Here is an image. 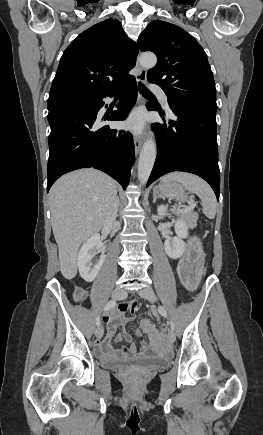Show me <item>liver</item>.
<instances>
[{"instance_id": "liver-1", "label": "liver", "mask_w": 263, "mask_h": 435, "mask_svg": "<svg viewBox=\"0 0 263 435\" xmlns=\"http://www.w3.org/2000/svg\"><path fill=\"white\" fill-rule=\"evenodd\" d=\"M49 196L60 269L70 280L77 274L80 245L101 230L117 200V184L103 172L81 169L57 180Z\"/></svg>"}]
</instances>
